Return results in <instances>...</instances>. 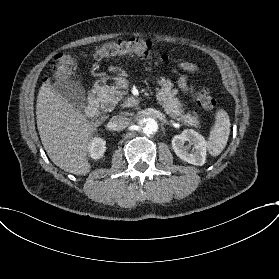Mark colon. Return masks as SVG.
I'll return each mask as SVG.
<instances>
[{
  "label": "colon",
  "mask_w": 279,
  "mask_h": 279,
  "mask_svg": "<svg viewBox=\"0 0 279 279\" xmlns=\"http://www.w3.org/2000/svg\"><path fill=\"white\" fill-rule=\"evenodd\" d=\"M149 42L143 39L115 40L105 42L93 50L92 57L96 61H101L115 56H149ZM163 61L168 59L167 55L161 56ZM76 66V60L68 53L60 52L53 60V69L64 78L71 75ZM197 101L200 107L206 111H216L217 104L207 88H200L197 91Z\"/></svg>",
  "instance_id": "1"
}]
</instances>
